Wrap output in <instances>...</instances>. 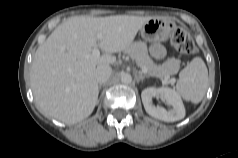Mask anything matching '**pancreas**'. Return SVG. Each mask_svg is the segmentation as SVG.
Instances as JSON below:
<instances>
[{
  "label": "pancreas",
  "instance_id": "cf45deb5",
  "mask_svg": "<svg viewBox=\"0 0 238 158\" xmlns=\"http://www.w3.org/2000/svg\"><path fill=\"white\" fill-rule=\"evenodd\" d=\"M124 53L135 60L141 69L145 67L148 76L160 78L164 84L170 83V75L177 69V63L174 60L162 65L154 63L148 54L147 45L141 41L132 43L124 50Z\"/></svg>",
  "mask_w": 238,
  "mask_h": 158
}]
</instances>
